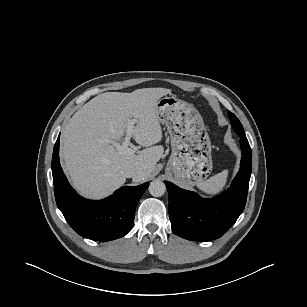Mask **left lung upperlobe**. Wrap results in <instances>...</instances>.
<instances>
[{"label": "left lung upper lobe", "instance_id": "left-lung-upper-lobe-1", "mask_svg": "<svg viewBox=\"0 0 307 307\" xmlns=\"http://www.w3.org/2000/svg\"><path fill=\"white\" fill-rule=\"evenodd\" d=\"M229 118L231 120V125L234 129V131L240 136V137H246L245 132L243 130L242 124L240 123L239 119L230 111H228Z\"/></svg>", "mask_w": 307, "mask_h": 307}]
</instances>
